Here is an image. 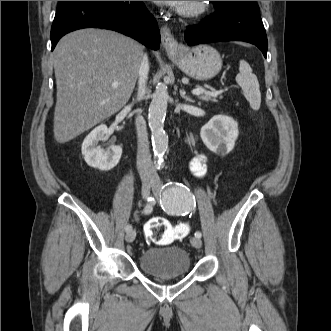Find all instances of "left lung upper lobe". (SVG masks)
Segmentation results:
<instances>
[{
	"label": "left lung upper lobe",
	"mask_w": 331,
	"mask_h": 331,
	"mask_svg": "<svg viewBox=\"0 0 331 331\" xmlns=\"http://www.w3.org/2000/svg\"><path fill=\"white\" fill-rule=\"evenodd\" d=\"M250 2H255V1H212L215 9L229 3H250Z\"/></svg>",
	"instance_id": "1"
}]
</instances>
